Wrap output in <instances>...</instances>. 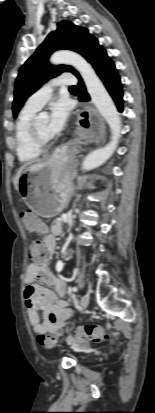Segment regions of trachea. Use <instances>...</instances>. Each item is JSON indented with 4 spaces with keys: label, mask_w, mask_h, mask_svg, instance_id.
I'll use <instances>...</instances> for the list:
<instances>
[{
    "label": "trachea",
    "mask_w": 155,
    "mask_h": 413,
    "mask_svg": "<svg viewBox=\"0 0 155 413\" xmlns=\"http://www.w3.org/2000/svg\"><path fill=\"white\" fill-rule=\"evenodd\" d=\"M70 89H77V87L76 86H71Z\"/></svg>",
    "instance_id": "1"
}]
</instances>
